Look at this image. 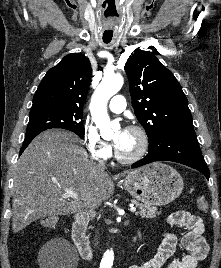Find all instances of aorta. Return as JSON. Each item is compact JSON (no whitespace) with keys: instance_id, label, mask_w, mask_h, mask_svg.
I'll return each mask as SVG.
<instances>
[{"instance_id":"obj_1","label":"aorta","mask_w":221,"mask_h":268,"mask_svg":"<svg viewBox=\"0 0 221 268\" xmlns=\"http://www.w3.org/2000/svg\"><path fill=\"white\" fill-rule=\"evenodd\" d=\"M124 80L121 75L105 77L95 90L91 103L90 111L92 119L100 130L103 138L110 137L113 133L114 123L110 121L107 113V103L123 86ZM105 260L108 263L113 261V252L107 251Z\"/></svg>"}]
</instances>
